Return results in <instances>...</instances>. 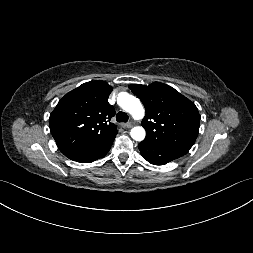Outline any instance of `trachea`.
Listing matches in <instances>:
<instances>
[{
    "instance_id": "trachea-1",
    "label": "trachea",
    "mask_w": 253,
    "mask_h": 253,
    "mask_svg": "<svg viewBox=\"0 0 253 253\" xmlns=\"http://www.w3.org/2000/svg\"><path fill=\"white\" fill-rule=\"evenodd\" d=\"M117 122H127L128 115L125 112L120 111L116 116Z\"/></svg>"
}]
</instances>
